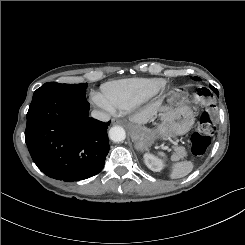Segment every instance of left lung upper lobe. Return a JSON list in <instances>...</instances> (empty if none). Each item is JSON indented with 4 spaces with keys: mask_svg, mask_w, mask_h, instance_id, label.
<instances>
[{
    "mask_svg": "<svg viewBox=\"0 0 245 245\" xmlns=\"http://www.w3.org/2000/svg\"><path fill=\"white\" fill-rule=\"evenodd\" d=\"M193 79L196 80V81H200V80H201L199 77H193ZM210 88H211L215 93H217V92H216V89H215L213 86H210Z\"/></svg>",
    "mask_w": 245,
    "mask_h": 245,
    "instance_id": "1",
    "label": "left lung upper lobe"
}]
</instances>
